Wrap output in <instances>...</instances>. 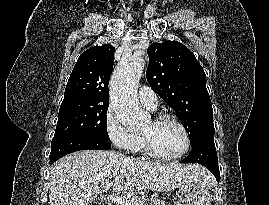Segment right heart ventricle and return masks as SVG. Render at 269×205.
I'll list each match as a JSON object with an SVG mask.
<instances>
[{
  "label": "right heart ventricle",
  "instance_id": "obj_1",
  "mask_svg": "<svg viewBox=\"0 0 269 205\" xmlns=\"http://www.w3.org/2000/svg\"><path fill=\"white\" fill-rule=\"evenodd\" d=\"M141 149H142V144H141V140H140L134 151H139Z\"/></svg>",
  "mask_w": 269,
  "mask_h": 205
}]
</instances>
